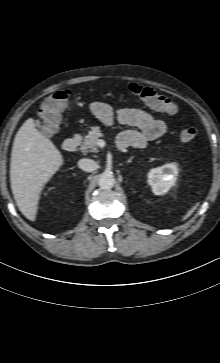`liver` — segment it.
I'll return each instance as SVG.
<instances>
[{
	"label": "liver",
	"instance_id": "6515ba94",
	"mask_svg": "<svg viewBox=\"0 0 220 363\" xmlns=\"http://www.w3.org/2000/svg\"><path fill=\"white\" fill-rule=\"evenodd\" d=\"M61 152L27 119L15 135L10 162L11 189L21 213L36 219L44 185L63 165Z\"/></svg>",
	"mask_w": 220,
	"mask_h": 363
}]
</instances>
